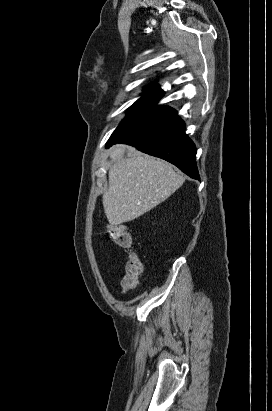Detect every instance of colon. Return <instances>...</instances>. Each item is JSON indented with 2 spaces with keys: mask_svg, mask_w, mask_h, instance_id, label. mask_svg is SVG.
Masks as SVG:
<instances>
[{
  "mask_svg": "<svg viewBox=\"0 0 272 411\" xmlns=\"http://www.w3.org/2000/svg\"><path fill=\"white\" fill-rule=\"evenodd\" d=\"M106 234L115 244L121 247L130 248L132 245L131 233L124 225H108ZM143 269L144 265L142 260L136 253L131 252L125 264L121 279V287L124 291H131L137 287Z\"/></svg>",
  "mask_w": 272,
  "mask_h": 411,
  "instance_id": "1",
  "label": "colon"
}]
</instances>
